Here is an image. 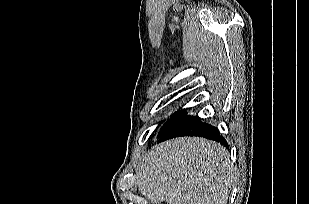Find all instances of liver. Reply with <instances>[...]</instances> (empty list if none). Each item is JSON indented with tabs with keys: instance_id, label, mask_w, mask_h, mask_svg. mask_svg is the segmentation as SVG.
I'll use <instances>...</instances> for the list:
<instances>
[{
	"instance_id": "1",
	"label": "liver",
	"mask_w": 309,
	"mask_h": 204,
	"mask_svg": "<svg viewBox=\"0 0 309 204\" xmlns=\"http://www.w3.org/2000/svg\"><path fill=\"white\" fill-rule=\"evenodd\" d=\"M232 163L220 144L183 137L154 146L137 168L139 192L167 204H227Z\"/></svg>"
}]
</instances>
